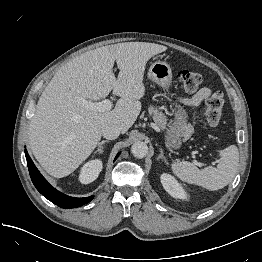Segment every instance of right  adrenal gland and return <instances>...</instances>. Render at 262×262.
<instances>
[{
	"label": "right adrenal gland",
	"instance_id": "1",
	"mask_svg": "<svg viewBox=\"0 0 262 262\" xmlns=\"http://www.w3.org/2000/svg\"><path fill=\"white\" fill-rule=\"evenodd\" d=\"M108 140H102L99 144H98V148L96 149L95 153L99 152L102 153L103 152V144L108 143Z\"/></svg>",
	"mask_w": 262,
	"mask_h": 262
}]
</instances>
